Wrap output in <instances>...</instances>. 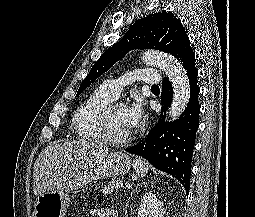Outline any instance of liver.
I'll list each match as a JSON object with an SVG mask.
<instances>
[{
	"label": "liver",
	"mask_w": 255,
	"mask_h": 217,
	"mask_svg": "<svg viewBox=\"0 0 255 217\" xmlns=\"http://www.w3.org/2000/svg\"><path fill=\"white\" fill-rule=\"evenodd\" d=\"M108 152L107 145L86 140L48 146L34 165V194L42 195L62 186L73 176L94 168L103 162Z\"/></svg>",
	"instance_id": "liver-1"
}]
</instances>
